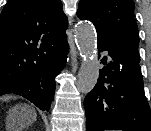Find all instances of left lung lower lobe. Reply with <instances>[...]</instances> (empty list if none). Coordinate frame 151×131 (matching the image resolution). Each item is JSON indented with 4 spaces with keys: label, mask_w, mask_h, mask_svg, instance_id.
<instances>
[{
    "label": "left lung lower lobe",
    "mask_w": 151,
    "mask_h": 131,
    "mask_svg": "<svg viewBox=\"0 0 151 131\" xmlns=\"http://www.w3.org/2000/svg\"><path fill=\"white\" fill-rule=\"evenodd\" d=\"M107 51L97 84L84 99L86 131H151L150 107L145 97L139 63L130 62L98 41Z\"/></svg>",
    "instance_id": "1"
}]
</instances>
